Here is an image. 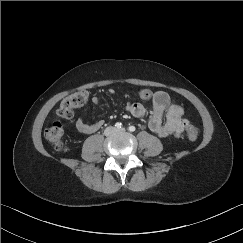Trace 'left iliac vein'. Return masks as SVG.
I'll list each match as a JSON object with an SVG mask.
<instances>
[{
  "label": "left iliac vein",
  "instance_id": "1",
  "mask_svg": "<svg viewBox=\"0 0 243 243\" xmlns=\"http://www.w3.org/2000/svg\"><path fill=\"white\" fill-rule=\"evenodd\" d=\"M125 131V129L123 128V129H116V132H124Z\"/></svg>",
  "mask_w": 243,
  "mask_h": 243
}]
</instances>
